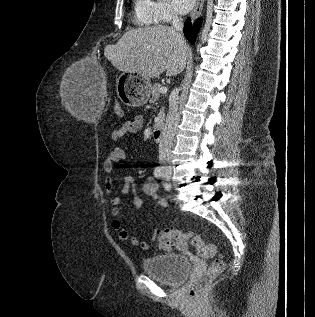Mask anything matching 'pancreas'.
<instances>
[{"instance_id":"obj_1","label":"pancreas","mask_w":315,"mask_h":317,"mask_svg":"<svg viewBox=\"0 0 315 317\" xmlns=\"http://www.w3.org/2000/svg\"><path fill=\"white\" fill-rule=\"evenodd\" d=\"M163 86L160 85V84H155L152 88V98L150 99V102L151 103H154L157 101L158 97L160 96V89L162 88Z\"/></svg>"}]
</instances>
